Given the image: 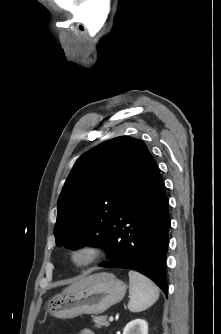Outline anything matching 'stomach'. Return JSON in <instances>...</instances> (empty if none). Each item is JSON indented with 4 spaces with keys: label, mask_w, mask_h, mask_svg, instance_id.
<instances>
[{
    "label": "stomach",
    "mask_w": 221,
    "mask_h": 334,
    "mask_svg": "<svg viewBox=\"0 0 221 334\" xmlns=\"http://www.w3.org/2000/svg\"><path fill=\"white\" fill-rule=\"evenodd\" d=\"M89 277L91 282L87 286L52 297L47 302L50 315L59 319L97 315L123 299L127 286L114 275L101 272Z\"/></svg>",
    "instance_id": "stomach-1"
}]
</instances>
